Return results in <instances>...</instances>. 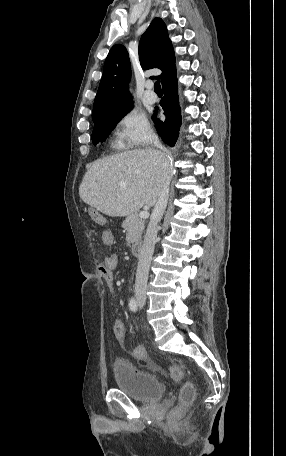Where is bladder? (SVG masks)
Instances as JSON below:
<instances>
[{
    "label": "bladder",
    "mask_w": 286,
    "mask_h": 456,
    "mask_svg": "<svg viewBox=\"0 0 286 456\" xmlns=\"http://www.w3.org/2000/svg\"><path fill=\"white\" fill-rule=\"evenodd\" d=\"M114 372L117 388L134 400L148 402L160 399L164 394L163 385L154 375L140 371L128 362H116Z\"/></svg>",
    "instance_id": "obj_1"
}]
</instances>
